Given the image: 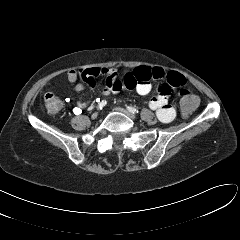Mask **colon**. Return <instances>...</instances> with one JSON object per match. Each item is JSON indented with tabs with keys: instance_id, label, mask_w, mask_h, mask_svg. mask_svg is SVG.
<instances>
[{
	"instance_id": "5ec220e1",
	"label": "colon",
	"mask_w": 240,
	"mask_h": 240,
	"mask_svg": "<svg viewBox=\"0 0 240 240\" xmlns=\"http://www.w3.org/2000/svg\"><path fill=\"white\" fill-rule=\"evenodd\" d=\"M198 103L199 99L193 92L187 89H182L180 91V107L183 115H191ZM44 104L46 110L51 114L58 113L63 105L62 100L53 93H47L45 95Z\"/></svg>"
}]
</instances>
